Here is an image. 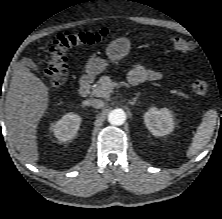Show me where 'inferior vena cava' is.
Wrapping results in <instances>:
<instances>
[{
    "label": "inferior vena cava",
    "instance_id": "obj_1",
    "mask_svg": "<svg viewBox=\"0 0 222 219\" xmlns=\"http://www.w3.org/2000/svg\"><path fill=\"white\" fill-rule=\"evenodd\" d=\"M85 104L98 109L104 107V102L98 99H89Z\"/></svg>",
    "mask_w": 222,
    "mask_h": 219
}]
</instances>
